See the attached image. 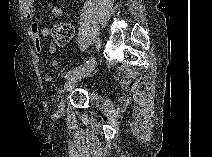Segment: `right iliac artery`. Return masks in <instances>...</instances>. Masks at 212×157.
Masks as SVG:
<instances>
[{"label": "right iliac artery", "mask_w": 212, "mask_h": 157, "mask_svg": "<svg viewBox=\"0 0 212 157\" xmlns=\"http://www.w3.org/2000/svg\"><path fill=\"white\" fill-rule=\"evenodd\" d=\"M93 41H94V43H95L96 51H98L99 48H100V46H101V41H100V39L97 38V37H94V38H93ZM94 61H95V57L93 56V57H91L89 60H87L86 63H85L84 65H81V66H79V67L73 69L72 71H69L65 77H66V78L71 77L72 75L78 73L79 71L83 70L85 67H87V66H89L90 64H92Z\"/></svg>", "instance_id": "82829eb1"}]
</instances>
